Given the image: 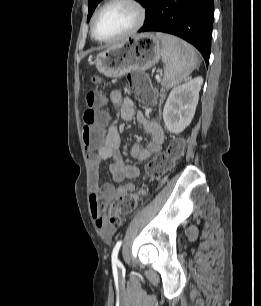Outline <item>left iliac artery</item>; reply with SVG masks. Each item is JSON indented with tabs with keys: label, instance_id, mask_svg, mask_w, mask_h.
Returning <instances> with one entry per match:
<instances>
[{
	"label": "left iliac artery",
	"instance_id": "left-iliac-artery-1",
	"mask_svg": "<svg viewBox=\"0 0 261 306\" xmlns=\"http://www.w3.org/2000/svg\"><path fill=\"white\" fill-rule=\"evenodd\" d=\"M121 245H122V241L120 240L116 243V245L113 248V252H112V256H111L113 264H118L119 263L118 252H119V249H120Z\"/></svg>",
	"mask_w": 261,
	"mask_h": 306
}]
</instances>
